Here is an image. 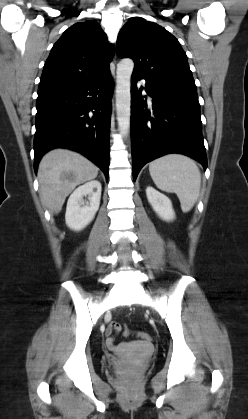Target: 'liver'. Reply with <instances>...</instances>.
<instances>
[{
	"label": "liver",
	"instance_id": "1",
	"mask_svg": "<svg viewBox=\"0 0 248 419\" xmlns=\"http://www.w3.org/2000/svg\"><path fill=\"white\" fill-rule=\"evenodd\" d=\"M98 167L77 152L54 149L43 156L38 167L42 204L58 214L76 186L96 178Z\"/></svg>",
	"mask_w": 248,
	"mask_h": 419
}]
</instances>
